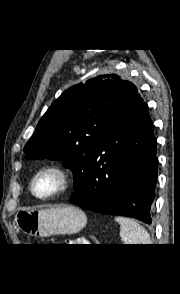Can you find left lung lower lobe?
<instances>
[{"mask_svg": "<svg viewBox=\"0 0 180 294\" xmlns=\"http://www.w3.org/2000/svg\"><path fill=\"white\" fill-rule=\"evenodd\" d=\"M158 158L153 123L140 94L95 151L70 202L151 224Z\"/></svg>", "mask_w": 180, "mask_h": 294, "instance_id": "1", "label": "left lung lower lobe"}]
</instances>
